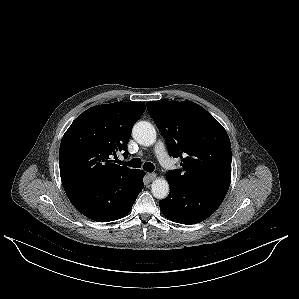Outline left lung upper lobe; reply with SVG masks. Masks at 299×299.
<instances>
[{
    "label": "left lung upper lobe",
    "mask_w": 299,
    "mask_h": 299,
    "mask_svg": "<svg viewBox=\"0 0 299 299\" xmlns=\"http://www.w3.org/2000/svg\"><path fill=\"white\" fill-rule=\"evenodd\" d=\"M147 109L168 145L182 159L179 170L166 175L178 183H207L229 188L231 144L222 125L191 101L147 102Z\"/></svg>",
    "instance_id": "5c2ea615"
}]
</instances>
